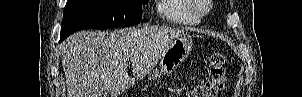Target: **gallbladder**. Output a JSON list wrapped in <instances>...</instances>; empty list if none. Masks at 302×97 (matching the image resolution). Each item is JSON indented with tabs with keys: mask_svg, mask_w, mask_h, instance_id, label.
<instances>
[{
	"mask_svg": "<svg viewBox=\"0 0 302 97\" xmlns=\"http://www.w3.org/2000/svg\"><path fill=\"white\" fill-rule=\"evenodd\" d=\"M99 96H100V97H107V93H106V92H103V93L101 92V93L99 94Z\"/></svg>",
	"mask_w": 302,
	"mask_h": 97,
	"instance_id": "bac80fb5",
	"label": "gallbladder"
}]
</instances>
